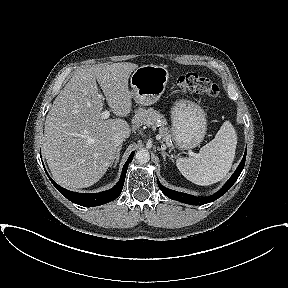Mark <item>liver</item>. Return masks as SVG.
I'll use <instances>...</instances> for the list:
<instances>
[{"mask_svg": "<svg viewBox=\"0 0 288 288\" xmlns=\"http://www.w3.org/2000/svg\"><path fill=\"white\" fill-rule=\"evenodd\" d=\"M137 64L121 62L76 72L55 98L45 120L43 154L54 180L65 188L89 187L98 182L116 157L114 136L128 138L129 124L103 119L104 98L116 116L132 108L128 79Z\"/></svg>", "mask_w": 288, "mask_h": 288, "instance_id": "obj_1", "label": "liver"}]
</instances>
